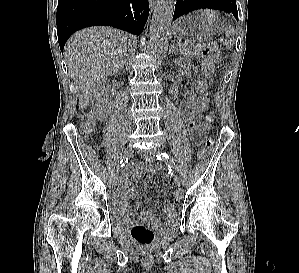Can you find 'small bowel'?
Returning <instances> with one entry per match:
<instances>
[{
    "label": "small bowel",
    "instance_id": "1",
    "mask_svg": "<svg viewBox=\"0 0 299 273\" xmlns=\"http://www.w3.org/2000/svg\"><path fill=\"white\" fill-rule=\"evenodd\" d=\"M193 105L194 97L191 94H187L181 102L180 111L191 137L194 140H198L206 132L207 127L201 120L194 118ZM154 172L155 168L153 166L140 165L125 175L120 187L116 190V199L120 210L127 212V204L135 194V188L131 186V182L136 179H148ZM163 213L166 220L171 219L175 214V206L173 204L166 206ZM141 218L148 222L156 221V217L152 212L143 213Z\"/></svg>",
    "mask_w": 299,
    "mask_h": 273
}]
</instances>
